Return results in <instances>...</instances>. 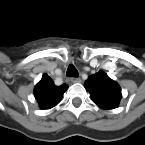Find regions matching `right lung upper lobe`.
Segmentation results:
<instances>
[{"instance_id": "1", "label": "right lung upper lobe", "mask_w": 145, "mask_h": 145, "mask_svg": "<svg viewBox=\"0 0 145 145\" xmlns=\"http://www.w3.org/2000/svg\"><path fill=\"white\" fill-rule=\"evenodd\" d=\"M67 88L68 86L65 84L55 86L52 79L44 74L40 82L35 86L34 96L39 102L40 108L50 109L60 102Z\"/></svg>"}]
</instances>
